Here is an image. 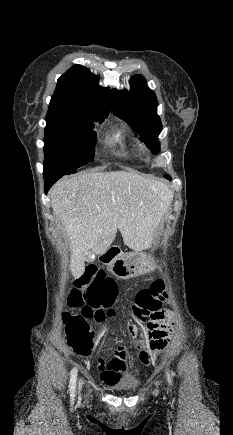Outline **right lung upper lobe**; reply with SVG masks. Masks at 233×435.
<instances>
[{
    "label": "right lung upper lobe",
    "mask_w": 233,
    "mask_h": 435,
    "mask_svg": "<svg viewBox=\"0 0 233 435\" xmlns=\"http://www.w3.org/2000/svg\"><path fill=\"white\" fill-rule=\"evenodd\" d=\"M109 111V88L101 87L86 67L74 65L58 79L46 120L98 117Z\"/></svg>",
    "instance_id": "right-lung-upper-lobe-1"
}]
</instances>
